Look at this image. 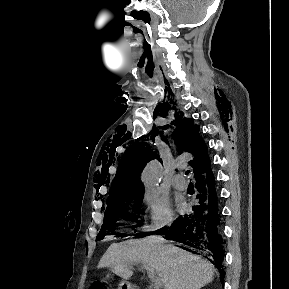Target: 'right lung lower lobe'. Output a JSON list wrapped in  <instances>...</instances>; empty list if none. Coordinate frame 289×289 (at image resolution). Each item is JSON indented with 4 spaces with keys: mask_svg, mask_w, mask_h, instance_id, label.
<instances>
[{
    "mask_svg": "<svg viewBox=\"0 0 289 289\" xmlns=\"http://www.w3.org/2000/svg\"><path fill=\"white\" fill-rule=\"evenodd\" d=\"M197 199L192 211L179 216L168 228H161L149 234H164L166 239L187 245L186 250L203 253L220 272L224 283V243L215 182L212 171L196 179Z\"/></svg>",
    "mask_w": 289,
    "mask_h": 289,
    "instance_id": "1",
    "label": "right lung lower lobe"
}]
</instances>
